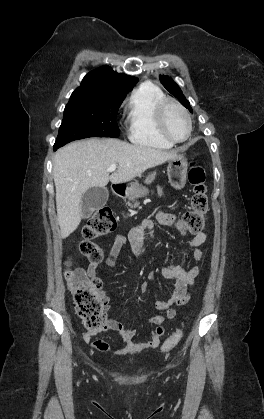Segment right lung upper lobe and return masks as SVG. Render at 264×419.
Wrapping results in <instances>:
<instances>
[{"label": "right lung upper lobe", "instance_id": "right-lung-upper-lobe-1", "mask_svg": "<svg viewBox=\"0 0 264 419\" xmlns=\"http://www.w3.org/2000/svg\"><path fill=\"white\" fill-rule=\"evenodd\" d=\"M137 78L114 72L109 66H102L88 73L76 90L126 96L137 83Z\"/></svg>", "mask_w": 264, "mask_h": 419}]
</instances>
